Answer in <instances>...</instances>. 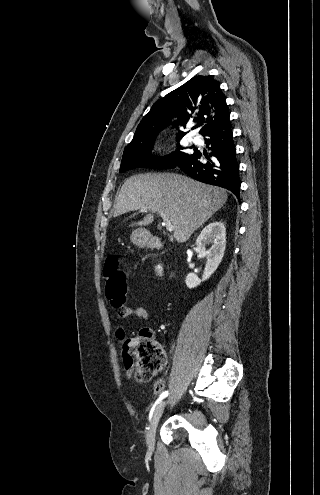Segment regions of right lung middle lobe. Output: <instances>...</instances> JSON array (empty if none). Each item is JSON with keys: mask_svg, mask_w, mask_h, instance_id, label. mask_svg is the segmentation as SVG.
I'll return each instance as SVG.
<instances>
[{"mask_svg": "<svg viewBox=\"0 0 320 495\" xmlns=\"http://www.w3.org/2000/svg\"><path fill=\"white\" fill-rule=\"evenodd\" d=\"M152 148L153 144L149 143L125 150L123 152L120 172L134 168L170 169L181 164L191 156L183 152V147L178 144V151L172 152L168 156H160L153 159L151 154Z\"/></svg>", "mask_w": 320, "mask_h": 495, "instance_id": "1", "label": "right lung middle lobe"}]
</instances>
